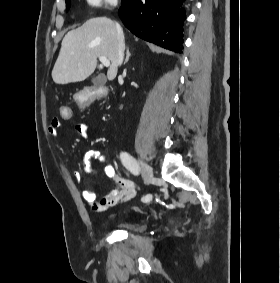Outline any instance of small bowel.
<instances>
[{"label": "small bowel", "mask_w": 280, "mask_h": 283, "mask_svg": "<svg viewBox=\"0 0 280 283\" xmlns=\"http://www.w3.org/2000/svg\"><path fill=\"white\" fill-rule=\"evenodd\" d=\"M60 127L61 122L58 119H54L48 127L49 135L51 137L58 136ZM75 130L78 136L82 138H85L88 135V126L85 123L76 124ZM91 158L97 159L101 162H106V157L101 152L94 150L87 152L83 170L88 174L95 173V169L91 166L89 161ZM104 173L114 182V188L107 195H105L101 200H98L97 195L92 188H87L82 193L83 199L95 212H105L112 207L131 200L136 194L135 184L131 180L120 176L113 166L106 164L104 166ZM72 175L77 181L82 178V172L79 170H74Z\"/></svg>", "instance_id": "small-bowel-1"}]
</instances>
